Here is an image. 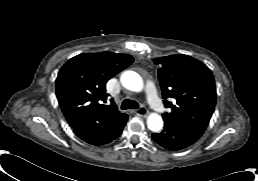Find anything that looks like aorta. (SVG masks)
Here are the masks:
<instances>
[{"label":"aorta","mask_w":258,"mask_h":181,"mask_svg":"<svg viewBox=\"0 0 258 181\" xmlns=\"http://www.w3.org/2000/svg\"><path fill=\"white\" fill-rule=\"evenodd\" d=\"M121 84L124 88L133 91L140 92L143 89V80L141 76L134 71H125L120 76ZM147 126L153 132H159L163 128V119L157 113H151L147 117Z\"/></svg>","instance_id":"aorta-1"}]
</instances>
